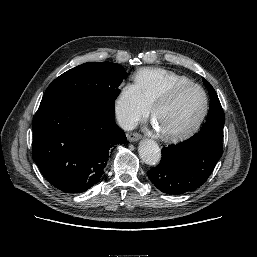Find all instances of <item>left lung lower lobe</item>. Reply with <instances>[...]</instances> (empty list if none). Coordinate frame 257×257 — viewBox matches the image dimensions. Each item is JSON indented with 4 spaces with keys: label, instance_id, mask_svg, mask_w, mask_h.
<instances>
[{
    "label": "left lung lower lobe",
    "instance_id": "0a47b994",
    "mask_svg": "<svg viewBox=\"0 0 257 257\" xmlns=\"http://www.w3.org/2000/svg\"><path fill=\"white\" fill-rule=\"evenodd\" d=\"M223 137L192 136L162 148L160 163L147 175L160 191L179 195L203 185L223 153Z\"/></svg>",
    "mask_w": 257,
    "mask_h": 257
}]
</instances>
